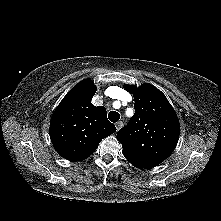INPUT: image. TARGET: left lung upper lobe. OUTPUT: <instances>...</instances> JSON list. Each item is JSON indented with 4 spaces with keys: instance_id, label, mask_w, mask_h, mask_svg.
I'll return each mask as SVG.
<instances>
[{
    "instance_id": "left-lung-upper-lobe-1",
    "label": "left lung upper lobe",
    "mask_w": 221,
    "mask_h": 221,
    "mask_svg": "<svg viewBox=\"0 0 221 221\" xmlns=\"http://www.w3.org/2000/svg\"><path fill=\"white\" fill-rule=\"evenodd\" d=\"M133 93L135 114L117 133L125 158L140 169L157 166L175 149L178 117L165 95L151 84L124 86Z\"/></svg>"
}]
</instances>
